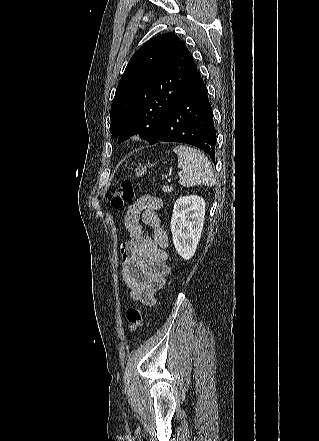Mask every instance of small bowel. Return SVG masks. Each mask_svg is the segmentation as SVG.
<instances>
[{
    "instance_id": "c3829d8e",
    "label": "small bowel",
    "mask_w": 319,
    "mask_h": 441,
    "mask_svg": "<svg viewBox=\"0 0 319 441\" xmlns=\"http://www.w3.org/2000/svg\"><path fill=\"white\" fill-rule=\"evenodd\" d=\"M161 206L159 198L143 195L128 208L124 219L129 240L121 246L122 278L129 287L130 298L146 306L156 304L155 294L169 274L168 236L157 213ZM143 224L152 228V236L145 232Z\"/></svg>"
}]
</instances>
